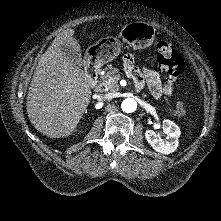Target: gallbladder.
<instances>
[{"mask_svg": "<svg viewBox=\"0 0 221 221\" xmlns=\"http://www.w3.org/2000/svg\"><path fill=\"white\" fill-rule=\"evenodd\" d=\"M61 51L65 57L72 60L76 65L82 66L83 62L80 53L74 51L73 49L67 46H61Z\"/></svg>", "mask_w": 221, "mask_h": 221, "instance_id": "1", "label": "gallbladder"}]
</instances>
